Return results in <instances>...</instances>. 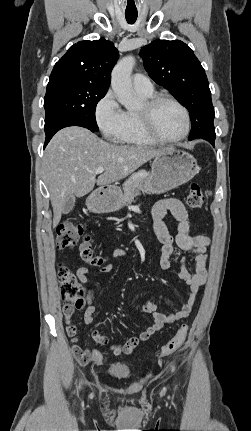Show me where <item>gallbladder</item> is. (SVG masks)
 <instances>
[{
  "label": "gallbladder",
  "instance_id": "1",
  "mask_svg": "<svg viewBox=\"0 0 251 431\" xmlns=\"http://www.w3.org/2000/svg\"><path fill=\"white\" fill-rule=\"evenodd\" d=\"M74 205H75V196H69L66 199V201H65V203H64V205L62 207V213L63 214L70 213L72 211Z\"/></svg>",
  "mask_w": 251,
  "mask_h": 431
}]
</instances>
